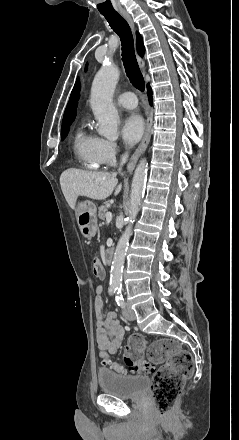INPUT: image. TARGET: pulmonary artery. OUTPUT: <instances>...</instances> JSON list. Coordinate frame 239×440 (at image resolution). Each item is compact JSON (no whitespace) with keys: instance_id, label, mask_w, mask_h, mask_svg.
I'll return each instance as SVG.
<instances>
[{"instance_id":"1","label":"pulmonary artery","mask_w":239,"mask_h":440,"mask_svg":"<svg viewBox=\"0 0 239 440\" xmlns=\"http://www.w3.org/2000/svg\"><path fill=\"white\" fill-rule=\"evenodd\" d=\"M117 103L125 108L128 109H133L137 106L138 102L136 99V95L132 92H125L122 93L118 98H117Z\"/></svg>"}]
</instances>
